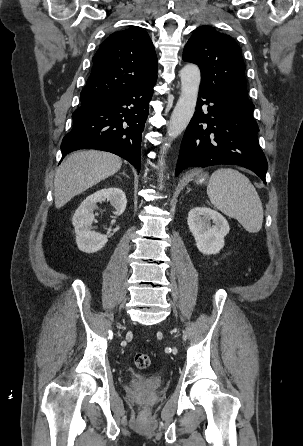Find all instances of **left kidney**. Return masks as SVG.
I'll list each match as a JSON object with an SVG mask.
<instances>
[{
    "label": "left kidney",
    "instance_id": "obj_1",
    "mask_svg": "<svg viewBox=\"0 0 303 446\" xmlns=\"http://www.w3.org/2000/svg\"><path fill=\"white\" fill-rule=\"evenodd\" d=\"M187 222L202 254H217L224 247V237L230 227L219 212L208 207H194L188 214Z\"/></svg>",
    "mask_w": 303,
    "mask_h": 446
}]
</instances>
